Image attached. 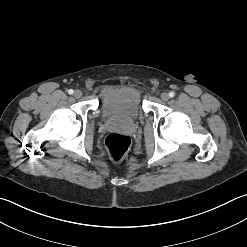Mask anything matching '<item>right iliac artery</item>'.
Masks as SVG:
<instances>
[{
    "label": "right iliac artery",
    "mask_w": 247,
    "mask_h": 247,
    "mask_svg": "<svg viewBox=\"0 0 247 247\" xmlns=\"http://www.w3.org/2000/svg\"><path fill=\"white\" fill-rule=\"evenodd\" d=\"M68 93L71 95L74 93V91L72 89L68 90Z\"/></svg>",
    "instance_id": "right-iliac-artery-1"
}]
</instances>
